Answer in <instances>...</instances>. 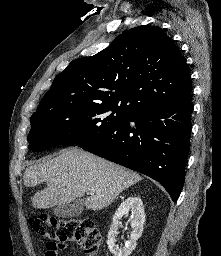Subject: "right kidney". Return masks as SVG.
<instances>
[{
	"label": "right kidney",
	"mask_w": 221,
	"mask_h": 256,
	"mask_svg": "<svg viewBox=\"0 0 221 256\" xmlns=\"http://www.w3.org/2000/svg\"><path fill=\"white\" fill-rule=\"evenodd\" d=\"M131 210V235L129 240L125 243L124 247L116 245V236L118 234V225L121 218L128 214ZM145 222L144 207L139 197L131 196L128 197L117 209L113 216V222L108 232V248L114 256H129L137 245V240L141 237L143 232V225Z\"/></svg>",
	"instance_id": "1"
}]
</instances>
